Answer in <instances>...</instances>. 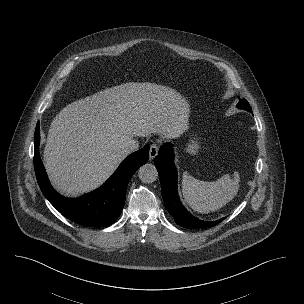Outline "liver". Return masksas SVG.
Returning <instances> with one entry per match:
<instances>
[{
  "label": "liver",
  "mask_w": 304,
  "mask_h": 304,
  "mask_svg": "<svg viewBox=\"0 0 304 304\" xmlns=\"http://www.w3.org/2000/svg\"><path fill=\"white\" fill-rule=\"evenodd\" d=\"M189 111L175 89L149 82L124 83L68 104L52 121L43 154L52 185L66 196L96 189L129 154L128 140L178 137Z\"/></svg>",
  "instance_id": "1"
}]
</instances>
